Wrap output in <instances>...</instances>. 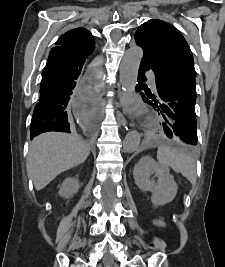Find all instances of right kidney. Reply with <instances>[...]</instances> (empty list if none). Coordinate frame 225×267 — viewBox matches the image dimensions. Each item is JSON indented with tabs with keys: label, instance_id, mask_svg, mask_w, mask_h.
I'll list each match as a JSON object with an SVG mask.
<instances>
[{
	"label": "right kidney",
	"instance_id": "ca27d5eb",
	"mask_svg": "<svg viewBox=\"0 0 225 267\" xmlns=\"http://www.w3.org/2000/svg\"><path fill=\"white\" fill-rule=\"evenodd\" d=\"M59 195L65 198H70L74 193L79 190L78 178H66L61 184Z\"/></svg>",
	"mask_w": 225,
	"mask_h": 267
}]
</instances>
